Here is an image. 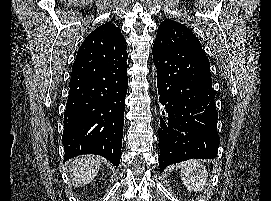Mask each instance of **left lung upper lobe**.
<instances>
[{"instance_id":"obj_1","label":"left lung upper lobe","mask_w":271,"mask_h":201,"mask_svg":"<svg viewBox=\"0 0 271 201\" xmlns=\"http://www.w3.org/2000/svg\"><path fill=\"white\" fill-rule=\"evenodd\" d=\"M186 27L172 19H166L164 20L160 26L158 27V33L155 39V43H161V42H165L168 39L173 38L179 31L180 28ZM199 45L201 46L200 42L198 41ZM204 59L205 62L207 64V66L209 67L210 63L208 58L206 57V55L204 54Z\"/></svg>"}]
</instances>
